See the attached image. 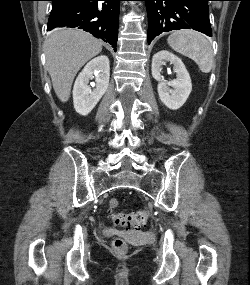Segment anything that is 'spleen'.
Wrapping results in <instances>:
<instances>
[{"label":"spleen","mask_w":250,"mask_h":285,"mask_svg":"<svg viewBox=\"0 0 250 285\" xmlns=\"http://www.w3.org/2000/svg\"><path fill=\"white\" fill-rule=\"evenodd\" d=\"M170 47L192 59L203 73H209L212 69L214 56L213 49L207 37L194 30H178L167 39Z\"/></svg>","instance_id":"1"}]
</instances>
